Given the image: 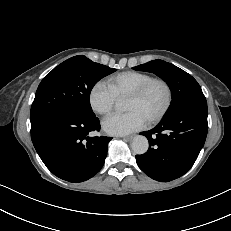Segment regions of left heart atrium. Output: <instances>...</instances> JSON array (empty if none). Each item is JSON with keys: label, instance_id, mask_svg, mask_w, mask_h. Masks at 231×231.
I'll return each mask as SVG.
<instances>
[{"label": "left heart atrium", "instance_id": "left-heart-atrium-1", "mask_svg": "<svg viewBox=\"0 0 231 231\" xmlns=\"http://www.w3.org/2000/svg\"><path fill=\"white\" fill-rule=\"evenodd\" d=\"M148 120L138 111L113 114L102 122L103 130L109 135L122 136L144 128Z\"/></svg>", "mask_w": 231, "mask_h": 231}]
</instances>
